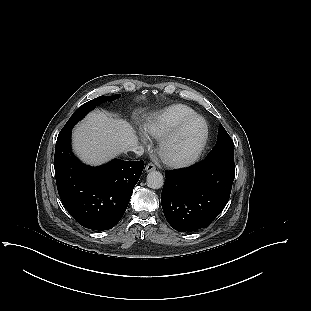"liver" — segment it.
Segmentation results:
<instances>
[{"mask_svg":"<svg viewBox=\"0 0 311 311\" xmlns=\"http://www.w3.org/2000/svg\"><path fill=\"white\" fill-rule=\"evenodd\" d=\"M73 148L87 164H102L137 145L135 130L125 120L95 111L73 130Z\"/></svg>","mask_w":311,"mask_h":311,"instance_id":"obj_1","label":"liver"}]
</instances>
